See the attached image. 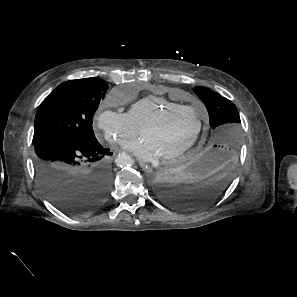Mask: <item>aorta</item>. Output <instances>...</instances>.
<instances>
[{"label": "aorta", "instance_id": "obj_1", "mask_svg": "<svg viewBox=\"0 0 297 297\" xmlns=\"http://www.w3.org/2000/svg\"><path fill=\"white\" fill-rule=\"evenodd\" d=\"M115 163L119 167H125V166L132 165L133 160L129 155H127L125 153H121L116 157Z\"/></svg>", "mask_w": 297, "mask_h": 297}]
</instances>
